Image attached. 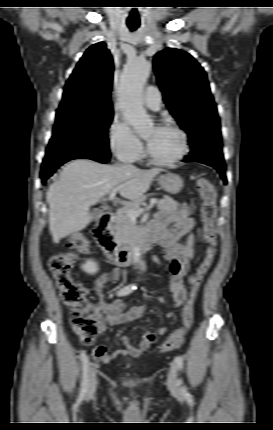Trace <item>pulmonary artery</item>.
Returning <instances> with one entry per match:
<instances>
[{"instance_id":"obj_1","label":"pulmonary artery","mask_w":273,"mask_h":430,"mask_svg":"<svg viewBox=\"0 0 273 430\" xmlns=\"http://www.w3.org/2000/svg\"><path fill=\"white\" fill-rule=\"evenodd\" d=\"M144 104L147 108L153 111L160 110L162 106L161 93L158 87L150 85L144 93Z\"/></svg>"}]
</instances>
